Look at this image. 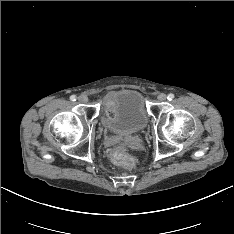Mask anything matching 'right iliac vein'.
<instances>
[{"label":"right iliac vein","mask_w":234,"mask_h":234,"mask_svg":"<svg viewBox=\"0 0 234 234\" xmlns=\"http://www.w3.org/2000/svg\"><path fill=\"white\" fill-rule=\"evenodd\" d=\"M78 100L81 103H87L88 102V97L86 95H80Z\"/></svg>","instance_id":"1"}]
</instances>
